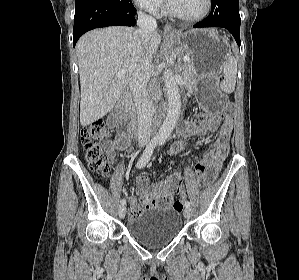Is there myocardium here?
Returning a JSON list of instances; mask_svg holds the SVG:
<instances>
[{"label":"myocardium","mask_w":299,"mask_h":280,"mask_svg":"<svg viewBox=\"0 0 299 280\" xmlns=\"http://www.w3.org/2000/svg\"><path fill=\"white\" fill-rule=\"evenodd\" d=\"M205 2H206V5H205V9H204L203 13L197 17H187V16L182 15L177 10H175V8L172 6L170 0H166V6H167L168 13L170 15H172L173 17H175L179 20L185 21V22L195 23V22H199V21H202L203 19H205L211 11L212 1L205 0Z\"/></svg>","instance_id":"myocardium-1"}]
</instances>
